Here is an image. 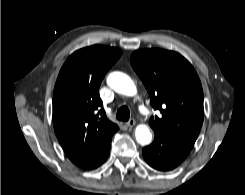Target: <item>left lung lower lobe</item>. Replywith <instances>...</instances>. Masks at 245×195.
<instances>
[{
    "mask_svg": "<svg viewBox=\"0 0 245 195\" xmlns=\"http://www.w3.org/2000/svg\"><path fill=\"white\" fill-rule=\"evenodd\" d=\"M154 142L143 149L145 161L153 168L169 171L177 167L194 146L193 141L166 131H154Z\"/></svg>",
    "mask_w": 245,
    "mask_h": 195,
    "instance_id": "obj_1",
    "label": "left lung lower lobe"
}]
</instances>
